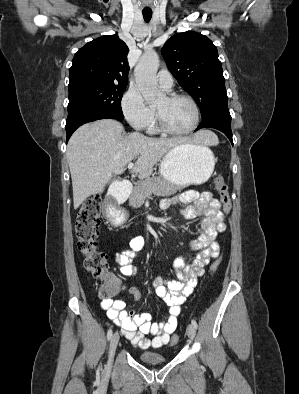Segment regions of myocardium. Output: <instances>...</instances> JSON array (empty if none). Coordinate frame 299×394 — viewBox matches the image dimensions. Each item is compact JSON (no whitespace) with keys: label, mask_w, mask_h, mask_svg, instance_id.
I'll return each instance as SVG.
<instances>
[{"label":"myocardium","mask_w":299,"mask_h":394,"mask_svg":"<svg viewBox=\"0 0 299 394\" xmlns=\"http://www.w3.org/2000/svg\"><path fill=\"white\" fill-rule=\"evenodd\" d=\"M165 97L170 101L177 100V99L187 100L192 105V107L194 109L195 120H194L193 125L190 128H188L186 130H175V129L171 128L166 123L162 114L156 109L155 113H156V119H157L159 128L163 132L170 134V135H186V134L193 132L198 127L199 122H200V109H199L197 102L191 96L186 95V94L169 93Z\"/></svg>","instance_id":"obj_1"}]
</instances>
